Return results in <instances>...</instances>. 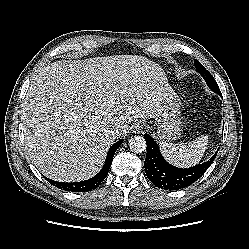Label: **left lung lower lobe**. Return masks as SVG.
Returning <instances> with one entry per match:
<instances>
[{
  "label": "left lung lower lobe",
  "instance_id": "1",
  "mask_svg": "<svg viewBox=\"0 0 249 249\" xmlns=\"http://www.w3.org/2000/svg\"><path fill=\"white\" fill-rule=\"evenodd\" d=\"M219 95L222 97L221 94ZM144 138L147 143L144 162L146 175L155 186L165 190H179L190 186L204 174L218 152L210 160L200 165L187 169L176 168L165 161L150 134H144Z\"/></svg>",
  "mask_w": 249,
  "mask_h": 249
}]
</instances>
